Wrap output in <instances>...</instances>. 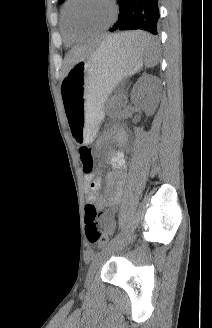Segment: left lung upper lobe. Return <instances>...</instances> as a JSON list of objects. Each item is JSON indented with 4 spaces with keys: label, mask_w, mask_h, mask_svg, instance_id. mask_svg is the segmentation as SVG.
Masks as SVG:
<instances>
[{
    "label": "left lung upper lobe",
    "mask_w": 212,
    "mask_h": 328,
    "mask_svg": "<svg viewBox=\"0 0 212 328\" xmlns=\"http://www.w3.org/2000/svg\"><path fill=\"white\" fill-rule=\"evenodd\" d=\"M64 2V0H59V4H61V3H63Z\"/></svg>",
    "instance_id": "5c2ea615"
}]
</instances>
